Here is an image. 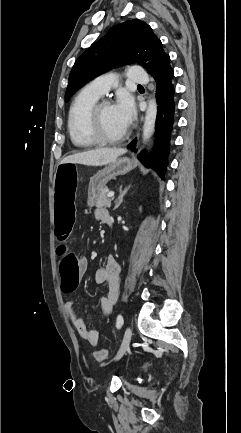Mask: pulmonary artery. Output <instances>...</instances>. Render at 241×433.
<instances>
[{
	"label": "pulmonary artery",
	"mask_w": 241,
	"mask_h": 433,
	"mask_svg": "<svg viewBox=\"0 0 241 433\" xmlns=\"http://www.w3.org/2000/svg\"><path fill=\"white\" fill-rule=\"evenodd\" d=\"M126 77L130 83H134V84L148 83L147 74L145 73L144 69L139 66L129 67ZM116 83L117 81L113 75H103L90 81L86 85V88L90 92L100 97L103 94H105L107 91H109L110 88Z\"/></svg>",
	"instance_id": "pulmonary-artery-1"
}]
</instances>
